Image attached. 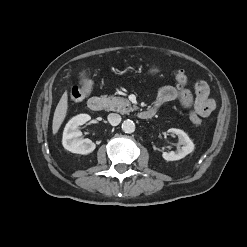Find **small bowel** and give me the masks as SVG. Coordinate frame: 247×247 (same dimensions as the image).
<instances>
[{
	"instance_id": "c3829d8e",
	"label": "small bowel",
	"mask_w": 247,
	"mask_h": 247,
	"mask_svg": "<svg viewBox=\"0 0 247 247\" xmlns=\"http://www.w3.org/2000/svg\"><path fill=\"white\" fill-rule=\"evenodd\" d=\"M209 94V86L202 80L195 84V96L186 88L167 85L159 89L151 108L157 110L167 102L179 101L184 108H191L200 116L207 117L215 108V102Z\"/></svg>"
}]
</instances>
